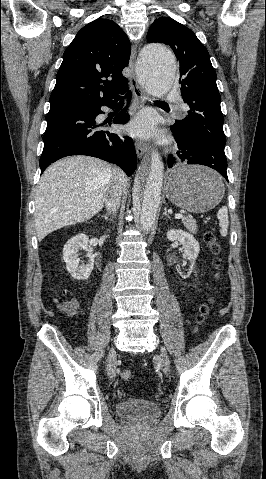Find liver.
<instances>
[{"instance_id":"obj_1","label":"liver","mask_w":266,"mask_h":479,"mask_svg":"<svg viewBox=\"0 0 266 479\" xmlns=\"http://www.w3.org/2000/svg\"><path fill=\"white\" fill-rule=\"evenodd\" d=\"M113 167L90 156H72L49 166L35 195L34 224L37 239L99 213L107 198ZM128 186L126 179L125 187ZM90 202H87V200Z\"/></svg>"}]
</instances>
